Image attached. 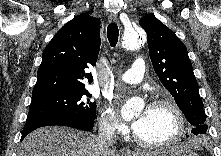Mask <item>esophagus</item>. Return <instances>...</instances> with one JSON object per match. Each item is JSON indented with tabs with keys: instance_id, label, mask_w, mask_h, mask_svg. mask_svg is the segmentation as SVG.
Here are the masks:
<instances>
[{
	"instance_id": "1",
	"label": "esophagus",
	"mask_w": 221,
	"mask_h": 156,
	"mask_svg": "<svg viewBox=\"0 0 221 156\" xmlns=\"http://www.w3.org/2000/svg\"><path fill=\"white\" fill-rule=\"evenodd\" d=\"M109 19H110L111 22H117L118 21V17L115 14H111L109 16ZM120 153H121L122 156H136V154L127 147L121 148Z\"/></svg>"
}]
</instances>
